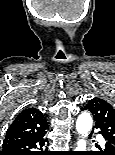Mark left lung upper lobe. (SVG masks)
<instances>
[{"instance_id":"5c2ea615","label":"left lung upper lobe","mask_w":115,"mask_h":155,"mask_svg":"<svg viewBox=\"0 0 115 155\" xmlns=\"http://www.w3.org/2000/svg\"><path fill=\"white\" fill-rule=\"evenodd\" d=\"M84 109L93 113L95 127L100 129L106 140L105 151L101 155H115V109L100 99L90 100Z\"/></svg>"}]
</instances>
